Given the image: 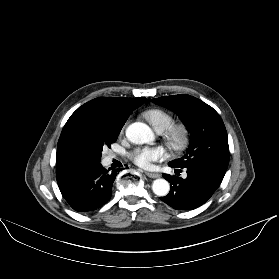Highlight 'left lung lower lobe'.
Here are the masks:
<instances>
[{
    "instance_id": "0a47b994",
    "label": "left lung lower lobe",
    "mask_w": 279,
    "mask_h": 279,
    "mask_svg": "<svg viewBox=\"0 0 279 279\" xmlns=\"http://www.w3.org/2000/svg\"><path fill=\"white\" fill-rule=\"evenodd\" d=\"M168 165L176 168L171 164ZM185 169L186 179L163 174L171 189L168 195L160 199L177 210H192L203 205L223 180V176L204 166H188Z\"/></svg>"
}]
</instances>
